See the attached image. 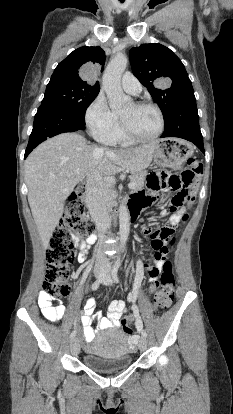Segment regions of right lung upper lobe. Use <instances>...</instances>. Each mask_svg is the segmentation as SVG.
<instances>
[{
    "label": "right lung upper lobe",
    "instance_id": "cb5924a9",
    "mask_svg": "<svg viewBox=\"0 0 233 414\" xmlns=\"http://www.w3.org/2000/svg\"><path fill=\"white\" fill-rule=\"evenodd\" d=\"M104 61L105 53L100 47H80L58 64L51 78L99 87L98 81L94 82L86 81L85 78L82 79L80 75H82L83 72L80 68L84 64H98L101 66V71H103Z\"/></svg>",
    "mask_w": 233,
    "mask_h": 414
}]
</instances>
